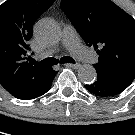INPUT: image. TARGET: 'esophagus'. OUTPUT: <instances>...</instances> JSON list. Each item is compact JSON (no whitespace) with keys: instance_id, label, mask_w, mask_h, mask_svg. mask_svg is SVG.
Masks as SVG:
<instances>
[{"instance_id":"esophagus-1","label":"esophagus","mask_w":135,"mask_h":135,"mask_svg":"<svg viewBox=\"0 0 135 135\" xmlns=\"http://www.w3.org/2000/svg\"><path fill=\"white\" fill-rule=\"evenodd\" d=\"M65 66L77 69V68L80 67V64H78V63H76V64L68 63V64H65Z\"/></svg>"}]
</instances>
